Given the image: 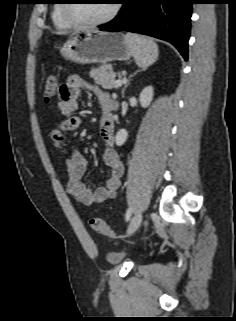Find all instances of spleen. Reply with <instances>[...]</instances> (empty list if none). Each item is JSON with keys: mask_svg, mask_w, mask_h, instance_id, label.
<instances>
[{"mask_svg": "<svg viewBox=\"0 0 236 321\" xmlns=\"http://www.w3.org/2000/svg\"><path fill=\"white\" fill-rule=\"evenodd\" d=\"M125 40L130 46L138 66L146 69L157 60L159 55L158 46L151 39L127 33Z\"/></svg>", "mask_w": 236, "mask_h": 321, "instance_id": "3e777b00", "label": "spleen"}]
</instances>
